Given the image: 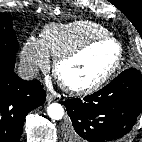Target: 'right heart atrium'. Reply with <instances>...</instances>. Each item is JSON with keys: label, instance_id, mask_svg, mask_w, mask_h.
I'll return each mask as SVG.
<instances>
[{"label": "right heart atrium", "instance_id": "1", "mask_svg": "<svg viewBox=\"0 0 142 142\" xmlns=\"http://www.w3.org/2000/svg\"><path fill=\"white\" fill-rule=\"evenodd\" d=\"M21 58L30 74H34L39 68L49 65V54L45 50L41 40L29 38L23 46Z\"/></svg>", "mask_w": 142, "mask_h": 142}]
</instances>
